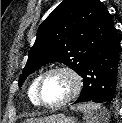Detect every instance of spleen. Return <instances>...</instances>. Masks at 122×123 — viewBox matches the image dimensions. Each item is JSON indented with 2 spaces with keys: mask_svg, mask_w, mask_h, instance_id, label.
Instances as JSON below:
<instances>
[{
  "mask_svg": "<svg viewBox=\"0 0 122 123\" xmlns=\"http://www.w3.org/2000/svg\"><path fill=\"white\" fill-rule=\"evenodd\" d=\"M75 110L84 113L86 123H108L109 113L107 109L100 104L93 102L79 104Z\"/></svg>",
  "mask_w": 122,
  "mask_h": 123,
  "instance_id": "3e777b00",
  "label": "spleen"
}]
</instances>
